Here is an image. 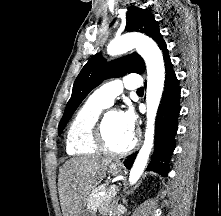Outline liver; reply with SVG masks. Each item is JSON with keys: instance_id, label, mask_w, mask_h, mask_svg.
Returning a JSON list of instances; mask_svg holds the SVG:
<instances>
[{"instance_id": "obj_1", "label": "liver", "mask_w": 221, "mask_h": 216, "mask_svg": "<svg viewBox=\"0 0 221 216\" xmlns=\"http://www.w3.org/2000/svg\"><path fill=\"white\" fill-rule=\"evenodd\" d=\"M112 159L83 156L65 162L60 169L58 191L63 216H80L93 190L106 176Z\"/></svg>"}]
</instances>
